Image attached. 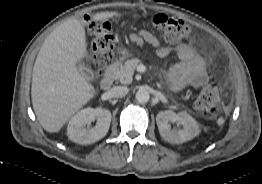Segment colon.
Returning <instances> with one entry per match:
<instances>
[{
  "label": "colon",
  "instance_id": "colon-1",
  "mask_svg": "<svg viewBox=\"0 0 262 184\" xmlns=\"http://www.w3.org/2000/svg\"><path fill=\"white\" fill-rule=\"evenodd\" d=\"M149 23L159 35L169 43L185 40L191 33V27L183 20L166 14H155L148 17ZM89 34L92 41L93 59L96 75L100 77L111 64L114 54V38L109 23L89 21ZM218 91L213 85H207L201 90L195 101L196 110L206 117L216 113Z\"/></svg>",
  "mask_w": 262,
  "mask_h": 184
}]
</instances>
